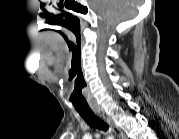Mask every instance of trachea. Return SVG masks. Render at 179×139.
I'll return each instance as SVG.
<instances>
[{
  "label": "trachea",
  "instance_id": "1",
  "mask_svg": "<svg viewBox=\"0 0 179 139\" xmlns=\"http://www.w3.org/2000/svg\"><path fill=\"white\" fill-rule=\"evenodd\" d=\"M80 116L94 129L107 131L109 126L101 118L95 115L92 111L78 112Z\"/></svg>",
  "mask_w": 179,
  "mask_h": 139
}]
</instances>
